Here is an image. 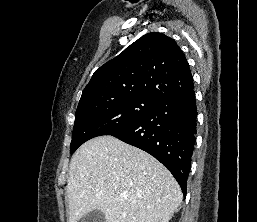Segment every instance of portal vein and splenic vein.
Segmentation results:
<instances>
[{"instance_id": "portal-vein-and-splenic-vein-1", "label": "portal vein and splenic vein", "mask_w": 257, "mask_h": 222, "mask_svg": "<svg viewBox=\"0 0 257 222\" xmlns=\"http://www.w3.org/2000/svg\"><path fill=\"white\" fill-rule=\"evenodd\" d=\"M121 197H122V198H126V195H125V194H121Z\"/></svg>"}]
</instances>
